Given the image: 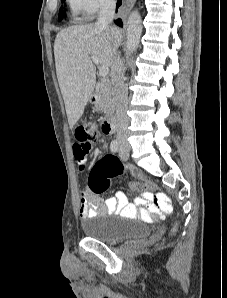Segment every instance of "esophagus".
Segmentation results:
<instances>
[{"instance_id":"34e87169","label":"esophagus","mask_w":227,"mask_h":298,"mask_svg":"<svg viewBox=\"0 0 227 298\" xmlns=\"http://www.w3.org/2000/svg\"><path fill=\"white\" fill-rule=\"evenodd\" d=\"M131 2H133V1H135V0H130ZM119 19L122 21V22H124V15H120L119 16Z\"/></svg>"}]
</instances>
